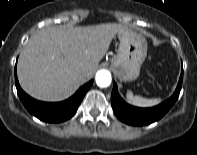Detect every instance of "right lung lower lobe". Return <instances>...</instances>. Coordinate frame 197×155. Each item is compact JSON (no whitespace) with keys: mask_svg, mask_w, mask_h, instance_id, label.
<instances>
[{"mask_svg":"<svg viewBox=\"0 0 197 155\" xmlns=\"http://www.w3.org/2000/svg\"><path fill=\"white\" fill-rule=\"evenodd\" d=\"M92 84L93 80L89 81L65 101L48 103L35 100L27 95L21 89L18 83L17 75L15 73V85L17 88V93L25 108L33 116L49 123H60L70 119L76 113L81 101Z\"/></svg>","mask_w":197,"mask_h":155,"instance_id":"98d812e1","label":"right lung lower lobe"}]
</instances>
